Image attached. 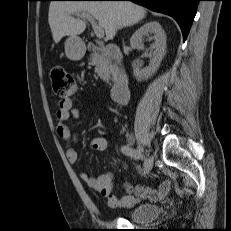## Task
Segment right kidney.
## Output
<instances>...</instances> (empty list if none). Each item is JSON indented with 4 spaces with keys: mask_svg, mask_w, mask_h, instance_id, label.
Listing matches in <instances>:
<instances>
[{
    "mask_svg": "<svg viewBox=\"0 0 231 231\" xmlns=\"http://www.w3.org/2000/svg\"><path fill=\"white\" fill-rule=\"evenodd\" d=\"M149 34L154 35L153 38L155 42L151 45L150 52L145 50V56H148L150 59L149 66L144 69L136 68L134 71L138 81L150 78L159 68L165 55L166 34L157 21L148 22L136 30L130 39L131 47L138 50H144L143 40L144 37Z\"/></svg>",
    "mask_w": 231,
    "mask_h": 231,
    "instance_id": "right-kidney-1",
    "label": "right kidney"
}]
</instances>
